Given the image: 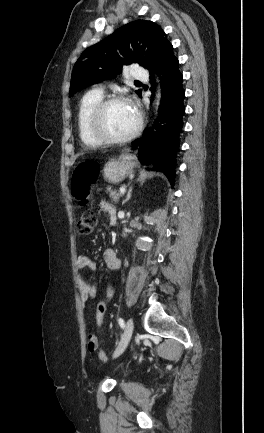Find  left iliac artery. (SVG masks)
I'll return each mask as SVG.
<instances>
[{
  "instance_id": "obj_1",
  "label": "left iliac artery",
  "mask_w": 264,
  "mask_h": 433,
  "mask_svg": "<svg viewBox=\"0 0 264 433\" xmlns=\"http://www.w3.org/2000/svg\"><path fill=\"white\" fill-rule=\"evenodd\" d=\"M118 323H119V325H120L121 328L125 327V323H124V320L122 318L118 319Z\"/></svg>"
}]
</instances>
